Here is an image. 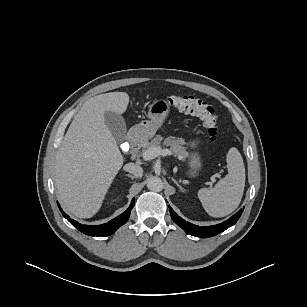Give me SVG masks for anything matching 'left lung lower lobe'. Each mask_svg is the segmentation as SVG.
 Segmentation results:
<instances>
[{
    "label": "left lung lower lobe",
    "instance_id": "obj_1",
    "mask_svg": "<svg viewBox=\"0 0 307 307\" xmlns=\"http://www.w3.org/2000/svg\"><path fill=\"white\" fill-rule=\"evenodd\" d=\"M170 208V214L172 219L182 228L184 229L187 233L200 237V238H207V237H212L220 232H223L224 230L228 229L232 225H234L238 219L240 218L243 209H240L235 215H233L231 218L228 220L224 221L223 223H220L218 225L214 226H197L193 225L189 222H186L183 220L181 217H179L171 207Z\"/></svg>",
    "mask_w": 307,
    "mask_h": 307
}]
</instances>
